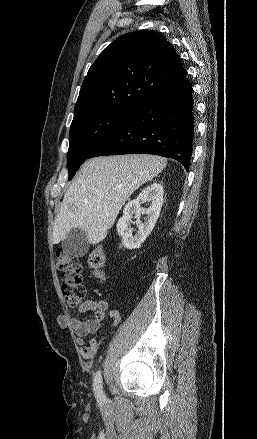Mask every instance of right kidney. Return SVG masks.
Instances as JSON below:
<instances>
[{"label":"right kidney","instance_id":"right-kidney-1","mask_svg":"<svg viewBox=\"0 0 257 439\" xmlns=\"http://www.w3.org/2000/svg\"><path fill=\"white\" fill-rule=\"evenodd\" d=\"M163 186L154 182L144 188L135 200L129 201L124 209L123 216L117 222L118 234L122 237V244L127 249L139 248L145 239L150 235L160 215L163 204ZM143 203L150 204L143 208ZM141 214L147 215L144 223L140 221ZM135 215L138 231L133 235L131 219Z\"/></svg>","mask_w":257,"mask_h":439}]
</instances>
